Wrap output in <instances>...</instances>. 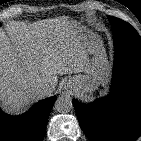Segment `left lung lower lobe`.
Masks as SVG:
<instances>
[{"label": "left lung lower lobe", "instance_id": "0a47b994", "mask_svg": "<svg viewBox=\"0 0 141 141\" xmlns=\"http://www.w3.org/2000/svg\"><path fill=\"white\" fill-rule=\"evenodd\" d=\"M114 44L111 95L89 105L73 100L90 141H134L141 135V40L116 37Z\"/></svg>", "mask_w": 141, "mask_h": 141}]
</instances>
